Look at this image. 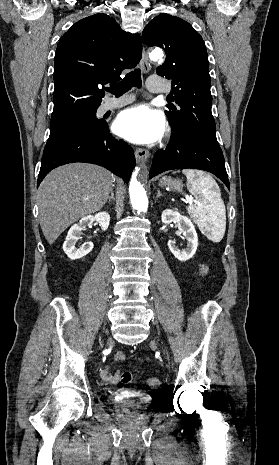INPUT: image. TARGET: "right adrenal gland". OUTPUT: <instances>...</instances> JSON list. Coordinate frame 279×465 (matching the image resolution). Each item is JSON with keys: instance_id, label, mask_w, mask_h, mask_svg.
Here are the masks:
<instances>
[{"instance_id": "right-adrenal-gland-1", "label": "right adrenal gland", "mask_w": 279, "mask_h": 465, "mask_svg": "<svg viewBox=\"0 0 279 465\" xmlns=\"http://www.w3.org/2000/svg\"><path fill=\"white\" fill-rule=\"evenodd\" d=\"M110 193H111V195H110V197L108 198L107 203H110L111 200H114V192H113V189H111Z\"/></svg>"}]
</instances>
